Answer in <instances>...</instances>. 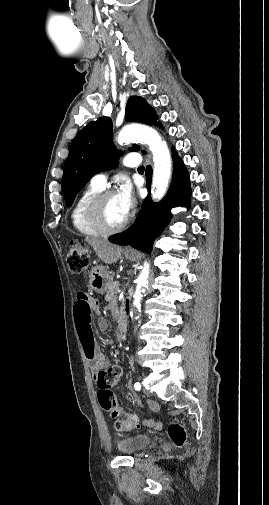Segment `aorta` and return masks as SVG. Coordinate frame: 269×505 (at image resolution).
Returning a JSON list of instances; mask_svg holds the SVG:
<instances>
[{
	"label": "aorta",
	"mask_w": 269,
	"mask_h": 505,
	"mask_svg": "<svg viewBox=\"0 0 269 505\" xmlns=\"http://www.w3.org/2000/svg\"><path fill=\"white\" fill-rule=\"evenodd\" d=\"M132 140L147 144L152 152L154 162L152 196L155 201H160L166 193L171 177L172 163L169 148L155 129L145 125H128L119 132L118 143L126 144ZM149 271V263L145 261L136 280V289L133 295L132 306L136 309V312L140 311L141 308V300L145 293V286L148 283Z\"/></svg>",
	"instance_id": "obj_1"
}]
</instances>
